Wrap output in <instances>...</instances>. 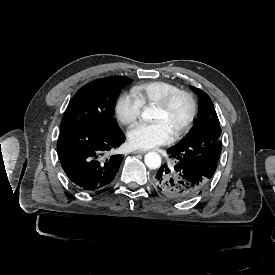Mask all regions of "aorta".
Returning <instances> with one entry per match:
<instances>
[{"label": "aorta", "instance_id": "1", "mask_svg": "<svg viewBox=\"0 0 275 275\" xmlns=\"http://www.w3.org/2000/svg\"><path fill=\"white\" fill-rule=\"evenodd\" d=\"M153 110H154V108H149V107L144 108V110L142 112V118L144 120L152 119L153 118ZM144 161H145L146 166L150 169H157L161 166V157L156 152H148L144 156Z\"/></svg>", "mask_w": 275, "mask_h": 275}]
</instances>
